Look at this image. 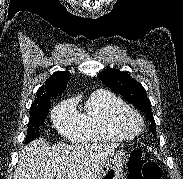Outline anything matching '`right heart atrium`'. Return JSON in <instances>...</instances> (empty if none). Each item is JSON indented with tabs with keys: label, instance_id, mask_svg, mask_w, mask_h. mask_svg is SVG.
<instances>
[{
	"label": "right heart atrium",
	"instance_id": "1",
	"mask_svg": "<svg viewBox=\"0 0 183 179\" xmlns=\"http://www.w3.org/2000/svg\"><path fill=\"white\" fill-rule=\"evenodd\" d=\"M58 131L69 139H76L81 133L80 115L75 109L74 100L69 99L58 104L52 114Z\"/></svg>",
	"mask_w": 183,
	"mask_h": 179
}]
</instances>
